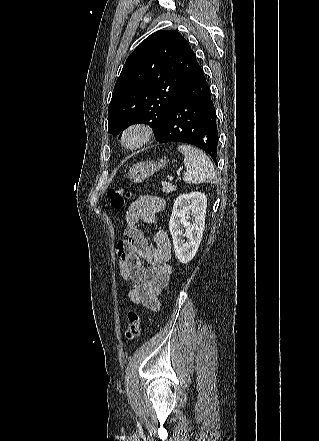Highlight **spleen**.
Returning <instances> with one entry per match:
<instances>
[{
	"label": "spleen",
	"instance_id": "3e777b00",
	"mask_svg": "<svg viewBox=\"0 0 319 441\" xmlns=\"http://www.w3.org/2000/svg\"><path fill=\"white\" fill-rule=\"evenodd\" d=\"M178 151L184 155L186 171L183 180L188 184L215 183L216 173L210 158L200 149L182 144Z\"/></svg>",
	"mask_w": 319,
	"mask_h": 441
}]
</instances>
